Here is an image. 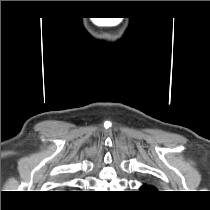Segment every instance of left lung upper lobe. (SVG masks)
Returning a JSON list of instances; mask_svg holds the SVG:
<instances>
[{"label":"left lung upper lobe","mask_w":210,"mask_h":210,"mask_svg":"<svg viewBox=\"0 0 210 210\" xmlns=\"http://www.w3.org/2000/svg\"><path fill=\"white\" fill-rule=\"evenodd\" d=\"M142 190L146 191V192H155L156 188L152 185H143V187H141Z\"/></svg>","instance_id":"5c2ea615"}]
</instances>
